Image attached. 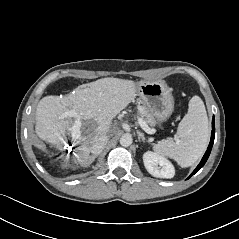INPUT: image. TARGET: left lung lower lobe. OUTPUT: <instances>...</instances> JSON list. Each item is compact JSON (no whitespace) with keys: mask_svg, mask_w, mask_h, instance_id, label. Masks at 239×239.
I'll use <instances>...</instances> for the list:
<instances>
[{"mask_svg":"<svg viewBox=\"0 0 239 239\" xmlns=\"http://www.w3.org/2000/svg\"><path fill=\"white\" fill-rule=\"evenodd\" d=\"M214 137H215V123H214V116H213V120H212V132H211V140H210V143H209V146L207 148V151L206 153L204 154L201 162L199 163V165L196 167V169L192 172V174L189 176V178L194 175L197 171H199L203 166L204 164L206 163L209 155H210V152H211V149H212V146H213V143H214Z\"/></svg>","mask_w":239,"mask_h":239,"instance_id":"obj_1","label":"left lung lower lobe"}]
</instances>
